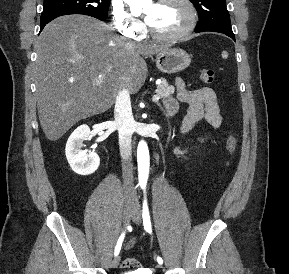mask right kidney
<instances>
[{
    "label": "right kidney",
    "mask_w": 289,
    "mask_h": 274,
    "mask_svg": "<svg viewBox=\"0 0 289 274\" xmlns=\"http://www.w3.org/2000/svg\"><path fill=\"white\" fill-rule=\"evenodd\" d=\"M90 128L83 124L77 127L66 143L65 153L71 169L79 175L94 173L100 164L97 153L82 150L83 142L89 140Z\"/></svg>",
    "instance_id": "obj_1"
}]
</instances>
